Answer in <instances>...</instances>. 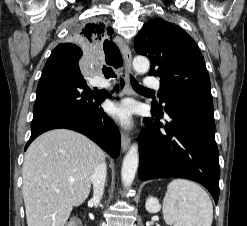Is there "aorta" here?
<instances>
[{
	"label": "aorta",
	"instance_id": "762f6f07",
	"mask_svg": "<svg viewBox=\"0 0 247 226\" xmlns=\"http://www.w3.org/2000/svg\"><path fill=\"white\" fill-rule=\"evenodd\" d=\"M133 68L139 74L146 73L150 68L149 60L144 56H137L133 59ZM139 163V152L136 145H132L124 157L121 177L124 187H129L134 181Z\"/></svg>",
	"mask_w": 247,
	"mask_h": 226
}]
</instances>
